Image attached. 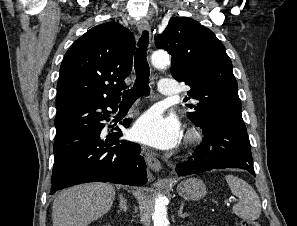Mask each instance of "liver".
Masks as SVG:
<instances>
[{
	"mask_svg": "<svg viewBox=\"0 0 297 226\" xmlns=\"http://www.w3.org/2000/svg\"><path fill=\"white\" fill-rule=\"evenodd\" d=\"M114 198V187L106 183L66 189L53 202V226H87L110 210Z\"/></svg>",
	"mask_w": 297,
	"mask_h": 226,
	"instance_id": "obj_1",
	"label": "liver"
}]
</instances>
